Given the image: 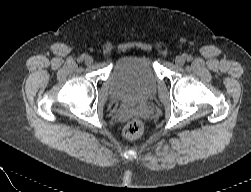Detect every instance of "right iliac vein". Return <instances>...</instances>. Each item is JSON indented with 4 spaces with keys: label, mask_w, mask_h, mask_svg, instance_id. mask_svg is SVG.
<instances>
[{
    "label": "right iliac vein",
    "mask_w": 251,
    "mask_h": 192,
    "mask_svg": "<svg viewBox=\"0 0 251 192\" xmlns=\"http://www.w3.org/2000/svg\"><path fill=\"white\" fill-rule=\"evenodd\" d=\"M85 63L86 64H92L93 63V58L91 56H86L85 57Z\"/></svg>",
    "instance_id": "1"
}]
</instances>
